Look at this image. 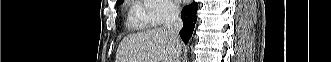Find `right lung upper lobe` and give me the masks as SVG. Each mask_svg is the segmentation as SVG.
Here are the masks:
<instances>
[{
    "label": "right lung upper lobe",
    "instance_id": "1",
    "mask_svg": "<svg viewBox=\"0 0 331 62\" xmlns=\"http://www.w3.org/2000/svg\"><path fill=\"white\" fill-rule=\"evenodd\" d=\"M121 1H122V0H117V3H118V2H121Z\"/></svg>",
    "mask_w": 331,
    "mask_h": 62
}]
</instances>
